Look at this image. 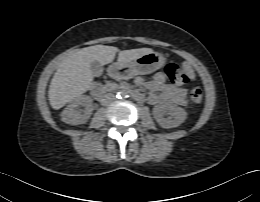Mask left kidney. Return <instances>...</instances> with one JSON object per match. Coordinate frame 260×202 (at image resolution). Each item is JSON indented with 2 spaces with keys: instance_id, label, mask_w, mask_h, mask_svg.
<instances>
[{
  "instance_id": "left-kidney-1",
  "label": "left kidney",
  "mask_w": 260,
  "mask_h": 202,
  "mask_svg": "<svg viewBox=\"0 0 260 202\" xmlns=\"http://www.w3.org/2000/svg\"><path fill=\"white\" fill-rule=\"evenodd\" d=\"M166 114L169 115L167 118L164 117ZM153 116L162 128L170 129L181 125L187 118V112L177 105L161 103L153 108Z\"/></svg>"
}]
</instances>
